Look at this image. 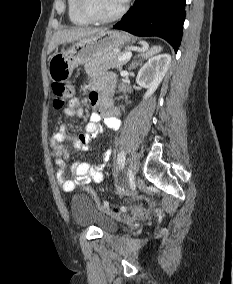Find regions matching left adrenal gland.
<instances>
[{
  "instance_id": "a2214340",
  "label": "left adrenal gland",
  "mask_w": 233,
  "mask_h": 284,
  "mask_svg": "<svg viewBox=\"0 0 233 284\" xmlns=\"http://www.w3.org/2000/svg\"><path fill=\"white\" fill-rule=\"evenodd\" d=\"M138 65V62L136 60L132 61V63L129 66V69H134Z\"/></svg>"
}]
</instances>
